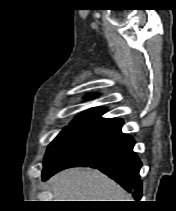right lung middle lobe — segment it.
I'll return each instance as SVG.
<instances>
[{"label":"right lung middle lobe","mask_w":176,"mask_h":211,"mask_svg":"<svg viewBox=\"0 0 176 211\" xmlns=\"http://www.w3.org/2000/svg\"><path fill=\"white\" fill-rule=\"evenodd\" d=\"M95 126L97 125L94 123L72 122L71 126L65 128L49 145L44 160V167L51 165L67 148L81 139Z\"/></svg>","instance_id":"1"}]
</instances>
